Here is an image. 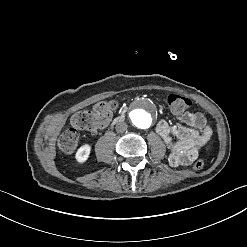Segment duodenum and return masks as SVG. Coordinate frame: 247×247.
Instances as JSON below:
<instances>
[{
  "label": "duodenum",
  "instance_id": "1",
  "mask_svg": "<svg viewBox=\"0 0 247 247\" xmlns=\"http://www.w3.org/2000/svg\"><path fill=\"white\" fill-rule=\"evenodd\" d=\"M126 115V110L121 111L118 116L114 119V123H118L123 120Z\"/></svg>",
  "mask_w": 247,
  "mask_h": 247
}]
</instances>
